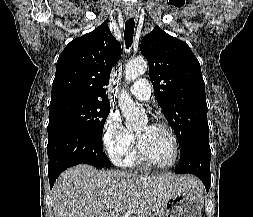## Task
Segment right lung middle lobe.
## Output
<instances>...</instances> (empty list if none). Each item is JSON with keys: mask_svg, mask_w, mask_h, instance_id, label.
<instances>
[{"mask_svg": "<svg viewBox=\"0 0 253 217\" xmlns=\"http://www.w3.org/2000/svg\"><path fill=\"white\" fill-rule=\"evenodd\" d=\"M48 136L61 131H77L102 142L105 121L110 112V103L65 99L50 103Z\"/></svg>", "mask_w": 253, "mask_h": 217, "instance_id": "right-lung-middle-lobe-1", "label": "right lung middle lobe"}]
</instances>
